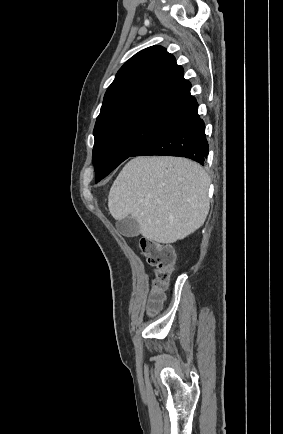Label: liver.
Instances as JSON below:
<instances>
[{"mask_svg": "<svg viewBox=\"0 0 283 434\" xmlns=\"http://www.w3.org/2000/svg\"><path fill=\"white\" fill-rule=\"evenodd\" d=\"M210 178L180 157H136L114 181L108 208L115 220L134 218L142 236L163 244L194 233L205 222Z\"/></svg>", "mask_w": 283, "mask_h": 434, "instance_id": "liver-1", "label": "liver"}]
</instances>
